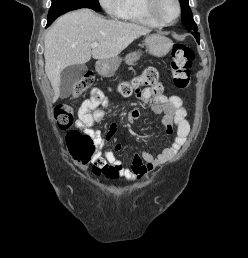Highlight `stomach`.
I'll use <instances>...</instances> for the list:
<instances>
[{
  "label": "stomach",
  "instance_id": "0dacf381",
  "mask_svg": "<svg viewBox=\"0 0 248 258\" xmlns=\"http://www.w3.org/2000/svg\"><path fill=\"white\" fill-rule=\"evenodd\" d=\"M145 46L151 55L163 57L172 49L173 42L163 35L152 34L146 37ZM120 64L121 58L118 56L111 59L99 60L96 63V70L102 76H111Z\"/></svg>",
  "mask_w": 248,
  "mask_h": 258
}]
</instances>
